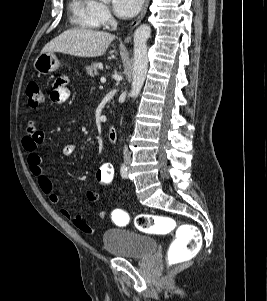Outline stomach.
I'll return each instance as SVG.
<instances>
[{"mask_svg": "<svg viewBox=\"0 0 267 301\" xmlns=\"http://www.w3.org/2000/svg\"><path fill=\"white\" fill-rule=\"evenodd\" d=\"M60 63L54 52L41 53L34 62L35 70L40 74H49L56 71Z\"/></svg>", "mask_w": 267, "mask_h": 301, "instance_id": "stomach-1", "label": "stomach"}]
</instances>
